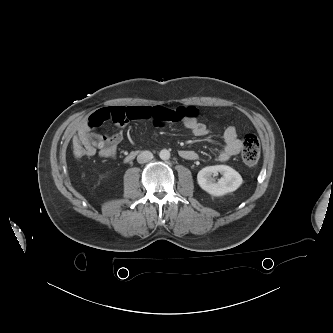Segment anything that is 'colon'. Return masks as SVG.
<instances>
[{"mask_svg": "<svg viewBox=\"0 0 333 333\" xmlns=\"http://www.w3.org/2000/svg\"><path fill=\"white\" fill-rule=\"evenodd\" d=\"M73 153L77 158L85 156V148L82 142L75 137L72 141ZM261 146L259 139L254 134H246L242 140L241 156L247 165H255L260 158Z\"/></svg>", "mask_w": 333, "mask_h": 333, "instance_id": "obj_1", "label": "colon"}]
</instances>
